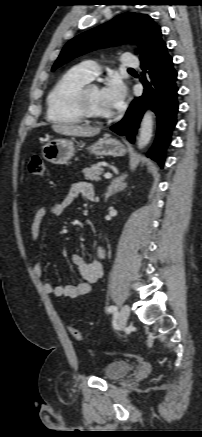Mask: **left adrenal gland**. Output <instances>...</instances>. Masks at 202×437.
I'll return each instance as SVG.
<instances>
[{
	"instance_id": "1",
	"label": "left adrenal gland",
	"mask_w": 202,
	"mask_h": 437,
	"mask_svg": "<svg viewBox=\"0 0 202 437\" xmlns=\"http://www.w3.org/2000/svg\"><path fill=\"white\" fill-rule=\"evenodd\" d=\"M126 178L127 175H121L112 180L105 194V200H107L110 196H112L116 192L122 191L127 187V183L124 182Z\"/></svg>"
}]
</instances>
